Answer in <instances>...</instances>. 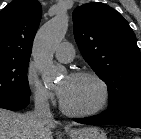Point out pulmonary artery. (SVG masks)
Masks as SVG:
<instances>
[{
    "label": "pulmonary artery",
    "instance_id": "1",
    "mask_svg": "<svg viewBox=\"0 0 141 139\" xmlns=\"http://www.w3.org/2000/svg\"><path fill=\"white\" fill-rule=\"evenodd\" d=\"M55 57L64 63L70 62L74 58V48L69 42H62L55 50Z\"/></svg>",
    "mask_w": 141,
    "mask_h": 139
}]
</instances>
